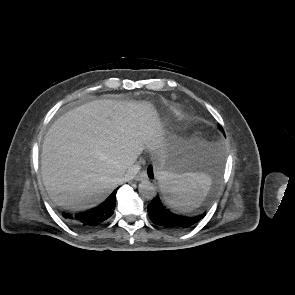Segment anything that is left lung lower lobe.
Here are the masks:
<instances>
[{
	"mask_svg": "<svg viewBox=\"0 0 295 295\" xmlns=\"http://www.w3.org/2000/svg\"><path fill=\"white\" fill-rule=\"evenodd\" d=\"M207 166H214V155L211 151L205 154ZM149 176H152V168L148 169ZM148 214L152 222L171 231H184L193 227L200 219L204 218L205 213L195 217H184L176 215L168 211L162 204L158 196H156L147 207Z\"/></svg>",
	"mask_w": 295,
	"mask_h": 295,
	"instance_id": "0a47b994",
	"label": "left lung lower lobe"
}]
</instances>
